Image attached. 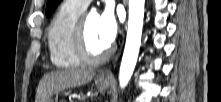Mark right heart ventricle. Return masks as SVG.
Here are the masks:
<instances>
[{"instance_id":"e07e8e85","label":"right heart ventricle","mask_w":221,"mask_h":102,"mask_svg":"<svg viewBox=\"0 0 221 102\" xmlns=\"http://www.w3.org/2000/svg\"><path fill=\"white\" fill-rule=\"evenodd\" d=\"M84 7L66 0L55 13L47 31L51 62L58 68H76L82 62L74 48V33Z\"/></svg>"}]
</instances>
